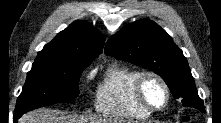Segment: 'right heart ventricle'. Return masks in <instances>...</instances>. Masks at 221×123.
Here are the masks:
<instances>
[{"label": "right heart ventricle", "instance_id": "right-heart-ventricle-1", "mask_svg": "<svg viewBox=\"0 0 221 123\" xmlns=\"http://www.w3.org/2000/svg\"><path fill=\"white\" fill-rule=\"evenodd\" d=\"M139 73L122 64H111L96 88L97 112L120 119L143 120L150 117L151 113L138 103L134 95V82Z\"/></svg>", "mask_w": 221, "mask_h": 123}]
</instances>
